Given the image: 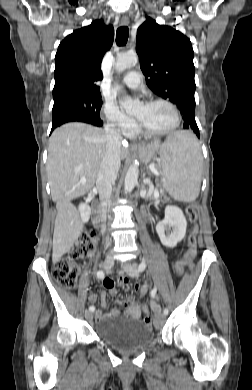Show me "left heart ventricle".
Returning <instances> with one entry per match:
<instances>
[{
	"mask_svg": "<svg viewBox=\"0 0 252 390\" xmlns=\"http://www.w3.org/2000/svg\"><path fill=\"white\" fill-rule=\"evenodd\" d=\"M134 117L145 127L156 131L170 128L175 120L172 109L164 103H155L149 106L141 104Z\"/></svg>",
	"mask_w": 252,
	"mask_h": 390,
	"instance_id": "b2bd125f",
	"label": "left heart ventricle"
}]
</instances>
